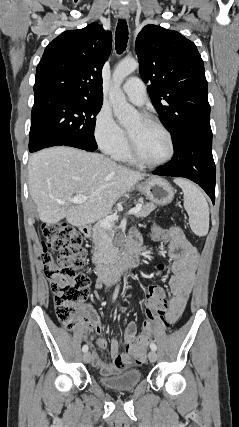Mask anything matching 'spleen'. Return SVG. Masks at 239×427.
<instances>
[{
	"instance_id": "3e777b00",
	"label": "spleen",
	"mask_w": 239,
	"mask_h": 427,
	"mask_svg": "<svg viewBox=\"0 0 239 427\" xmlns=\"http://www.w3.org/2000/svg\"><path fill=\"white\" fill-rule=\"evenodd\" d=\"M174 182L184 193V208L189 215L191 230L197 236H206L209 231V207L204 194L188 180L177 178Z\"/></svg>"
}]
</instances>
